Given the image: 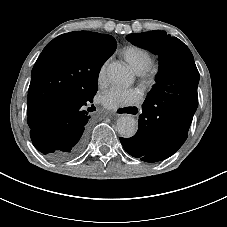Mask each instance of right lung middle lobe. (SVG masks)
<instances>
[{
    "instance_id": "dd1d6c3e",
    "label": "right lung middle lobe",
    "mask_w": 227,
    "mask_h": 227,
    "mask_svg": "<svg viewBox=\"0 0 227 227\" xmlns=\"http://www.w3.org/2000/svg\"><path fill=\"white\" fill-rule=\"evenodd\" d=\"M115 48L116 43H112L111 45L101 49H74V58L81 61L86 67L87 88L84 94L94 95L96 93L100 68L112 55Z\"/></svg>"
}]
</instances>
